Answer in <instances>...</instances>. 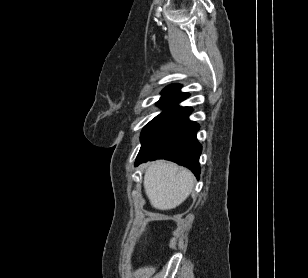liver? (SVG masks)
<instances>
[{
  "mask_svg": "<svg viewBox=\"0 0 308 278\" xmlns=\"http://www.w3.org/2000/svg\"><path fill=\"white\" fill-rule=\"evenodd\" d=\"M193 174L164 160L149 163L144 175V189L151 205L170 210L183 203L194 187Z\"/></svg>",
  "mask_w": 308,
  "mask_h": 278,
  "instance_id": "1",
  "label": "liver"
}]
</instances>
